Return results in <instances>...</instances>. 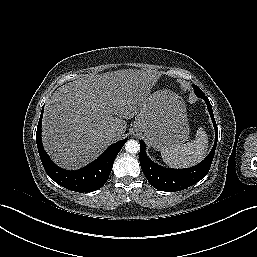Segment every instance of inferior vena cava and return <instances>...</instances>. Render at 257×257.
<instances>
[{
    "mask_svg": "<svg viewBox=\"0 0 257 257\" xmlns=\"http://www.w3.org/2000/svg\"><path fill=\"white\" fill-rule=\"evenodd\" d=\"M106 137L110 138V139H113L116 137V131L115 130H108L106 132Z\"/></svg>",
    "mask_w": 257,
    "mask_h": 257,
    "instance_id": "inferior-vena-cava-1",
    "label": "inferior vena cava"
}]
</instances>
